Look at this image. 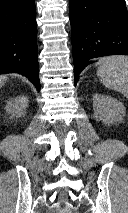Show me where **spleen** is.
Returning a JSON list of instances; mask_svg holds the SVG:
<instances>
[{
	"label": "spleen",
	"mask_w": 128,
	"mask_h": 213,
	"mask_svg": "<svg viewBox=\"0 0 128 213\" xmlns=\"http://www.w3.org/2000/svg\"><path fill=\"white\" fill-rule=\"evenodd\" d=\"M97 76L109 89L121 92L128 98V57L110 56L99 61Z\"/></svg>",
	"instance_id": "1"
}]
</instances>
